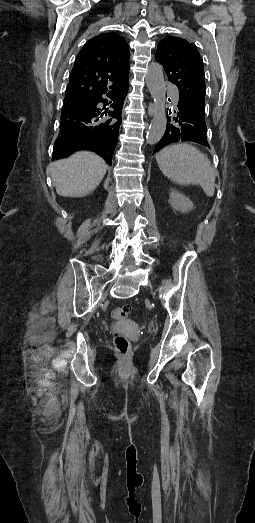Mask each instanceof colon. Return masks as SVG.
I'll list each match as a JSON object with an SVG mask.
<instances>
[{"instance_id":"colon-1","label":"colon","mask_w":255,"mask_h":523,"mask_svg":"<svg viewBox=\"0 0 255 523\" xmlns=\"http://www.w3.org/2000/svg\"><path fill=\"white\" fill-rule=\"evenodd\" d=\"M112 315L115 319H128L131 316L130 306L117 307L113 310ZM113 343L115 350L121 356H126L130 351V342L126 336L118 331L113 334Z\"/></svg>"}]
</instances>
